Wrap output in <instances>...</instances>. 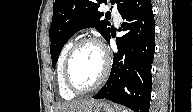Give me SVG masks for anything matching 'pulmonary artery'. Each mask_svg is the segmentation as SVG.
I'll list each match as a JSON object with an SVG mask.
<instances>
[{"label":"pulmonary artery","mask_w":193,"mask_h":112,"mask_svg":"<svg viewBox=\"0 0 193 112\" xmlns=\"http://www.w3.org/2000/svg\"><path fill=\"white\" fill-rule=\"evenodd\" d=\"M112 16L116 24L121 21V16L116 9H112Z\"/></svg>","instance_id":"e3ab8cb5"}]
</instances>
